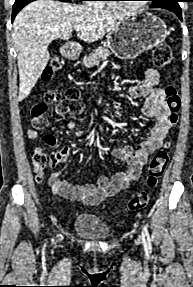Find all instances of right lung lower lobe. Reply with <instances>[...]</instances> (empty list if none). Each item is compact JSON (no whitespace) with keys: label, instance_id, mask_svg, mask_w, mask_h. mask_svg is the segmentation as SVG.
<instances>
[{"label":"right lung lower lobe","instance_id":"obj_1","mask_svg":"<svg viewBox=\"0 0 193 287\" xmlns=\"http://www.w3.org/2000/svg\"><path fill=\"white\" fill-rule=\"evenodd\" d=\"M35 1V0H16L14 5H13V12H12V21L14 20L15 16L17 13L27 4L30 2ZM63 2H71V0H59Z\"/></svg>","mask_w":193,"mask_h":287}]
</instances>
